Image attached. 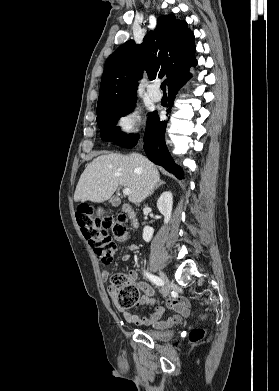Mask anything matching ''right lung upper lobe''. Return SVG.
<instances>
[{"label": "right lung upper lobe", "instance_id": "cb5924a9", "mask_svg": "<svg viewBox=\"0 0 279 391\" xmlns=\"http://www.w3.org/2000/svg\"><path fill=\"white\" fill-rule=\"evenodd\" d=\"M194 34L184 20L174 15L157 19L154 31L142 44L130 40L118 47L106 60L101 79L97 113L136 101L137 80L143 70L150 80L166 76L168 90L197 64Z\"/></svg>", "mask_w": 279, "mask_h": 391}]
</instances>
